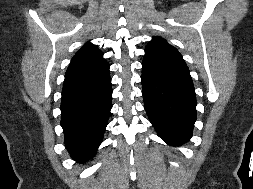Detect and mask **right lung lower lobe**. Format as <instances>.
<instances>
[{
	"label": "right lung lower lobe",
	"instance_id": "right-lung-lower-lobe-1",
	"mask_svg": "<svg viewBox=\"0 0 253 189\" xmlns=\"http://www.w3.org/2000/svg\"><path fill=\"white\" fill-rule=\"evenodd\" d=\"M111 96L109 73L86 82L64 81L61 126L74 160L84 162L95 155L107 126Z\"/></svg>",
	"mask_w": 253,
	"mask_h": 189
}]
</instances>
